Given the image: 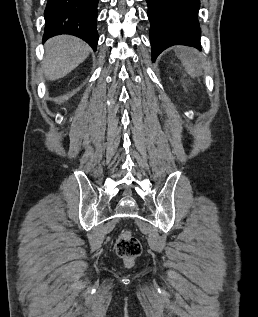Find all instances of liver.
Listing matches in <instances>:
<instances>
[{"mask_svg": "<svg viewBox=\"0 0 258 317\" xmlns=\"http://www.w3.org/2000/svg\"><path fill=\"white\" fill-rule=\"evenodd\" d=\"M89 52L90 46L76 36L61 34V36L49 38L46 42V56L43 64L46 78L56 80L66 76L85 60Z\"/></svg>", "mask_w": 258, "mask_h": 317, "instance_id": "1", "label": "liver"}]
</instances>
